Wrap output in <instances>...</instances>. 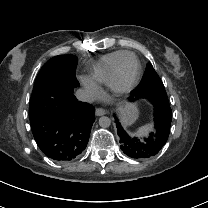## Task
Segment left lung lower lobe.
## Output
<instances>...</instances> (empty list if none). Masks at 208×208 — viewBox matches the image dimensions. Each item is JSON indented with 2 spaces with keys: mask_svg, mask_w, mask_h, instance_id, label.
I'll use <instances>...</instances> for the list:
<instances>
[{
  "mask_svg": "<svg viewBox=\"0 0 208 208\" xmlns=\"http://www.w3.org/2000/svg\"><path fill=\"white\" fill-rule=\"evenodd\" d=\"M139 96L129 97V101H135ZM154 105V125L156 133H151L147 138L139 140L130 137L121 126L118 119L115 120L117 133L120 138L121 150L133 159H148L155 156L166 143L172 119V111L169 103L154 98H147Z\"/></svg>",
  "mask_w": 208,
  "mask_h": 208,
  "instance_id": "obj_1",
  "label": "left lung lower lobe"
}]
</instances>
